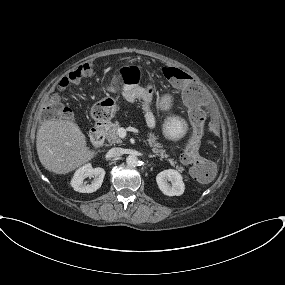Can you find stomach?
<instances>
[{
    "label": "stomach",
    "instance_id": "stomach-1",
    "mask_svg": "<svg viewBox=\"0 0 285 285\" xmlns=\"http://www.w3.org/2000/svg\"><path fill=\"white\" fill-rule=\"evenodd\" d=\"M111 84L113 86H118L121 84L120 76L114 74L111 78ZM171 96L166 95L162 98L160 106L162 109L166 110L170 107ZM118 110L117 99L112 97H105L95 103L91 108V116L97 123H107L112 118H114ZM186 131L185 123L179 118L172 117L169 118L163 127L164 135L171 139L177 140L184 136Z\"/></svg>",
    "mask_w": 285,
    "mask_h": 285
}]
</instances>
